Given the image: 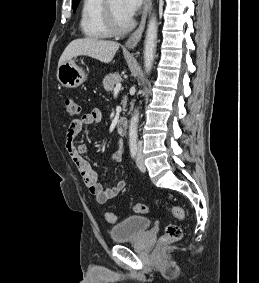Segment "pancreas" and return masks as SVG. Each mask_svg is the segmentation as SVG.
<instances>
[{
	"mask_svg": "<svg viewBox=\"0 0 259 283\" xmlns=\"http://www.w3.org/2000/svg\"><path fill=\"white\" fill-rule=\"evenodd\" d=\"M121 82V77L118 73H110L106 75L103 79V87L106 91H113L114 86ZM127 104V98L124 97L123 109H125Z\"/></svg>",
	"mask_w": 259,
	"mask_h": 283,
	"instance_id": "cf45deb5",
	"label": "pancreas"
}]
</instances>
